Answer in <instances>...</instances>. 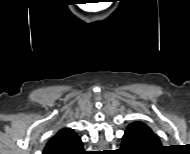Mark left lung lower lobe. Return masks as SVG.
<instances>
[{"label":"left lung lower lobe","mask_w":190,"mask_h":154,"mask_svg":"<svg viewBox=\"0 0 190 154\" xmlns=\"http://www.w3.org/2000/svg\"><path fill=\"white\" fill-rule=\"evenodd\" d=\"M160 146L159 137L147 125L134 122L125 131L121 150L127 154H144V152Z\"/></svg>","instance_id":"1"}]
</instances>
